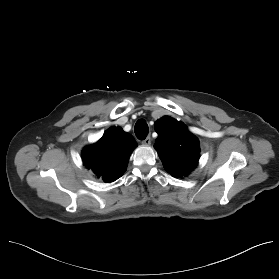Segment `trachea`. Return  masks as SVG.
Returning a JSON list of instances; mask_svg holds the SVG:
<instances>
[{"label": "trachea", "mask_w": 279, "mask_h": 279, "mask_svg": "<svg viewBox=\"0 0 279 279\" xmlns=\"http://www.w3.org/2000/svg\"><path fill=\"white\" fill-rule=\"evenodd\" d=\"M148 125L144 120H139L135 124V134L138 139L144 140L148 135Z\"/></svg>", "instance_id": "trachea-1"}]
</instances>
